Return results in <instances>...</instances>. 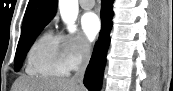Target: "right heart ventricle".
<instances>
[{
	"label": "right heart ventricle",
	"instance_id": "right-heart-ventricle-1",
	"mask_svg": "<svg viewBox=\"0 0 173 91\" xmlns=\"http://www.w3.org/2000/svg\"><path fill=\"white\" fill-rule=\"evenodd\" d=\"M27 73L41 78L66 77L69 68L63 58L60 40L51 33L42 35L27 57Z\"/></svg>",
	"mask_w": 173,
	"mask_h": 91
}]
</instances>
